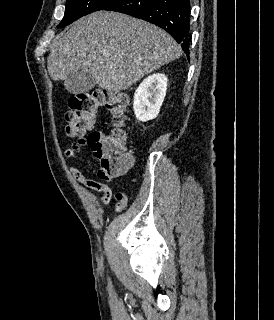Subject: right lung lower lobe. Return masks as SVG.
Instances as JSON below:
<instances>
[{
  "label": "right lung lower lobe",
  "instance_id": "1",
  "mask_svg": "<svg viewBox=\"0 0 274 320\" xmlns=\"http://www.w3.org/2000/svg\"><path fill=\"white\" fill-rule=\"evenodd\" d=\"M102 10L125 13L163 28L189 58V0H115Z\"/></svg>",
  "mask_w": 274,
  "mask_h": 320
}]
</instances>
